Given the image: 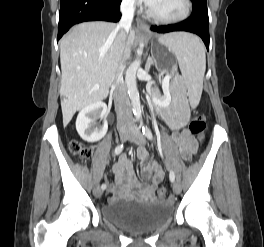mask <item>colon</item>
Segmentation results:
<instances>
[{
	"instance_id": "5ec220e1",
	"label": "colon",
	"mask_w": 264,
	"mask_h": 247,
	"mask_svg": "<svg viewBox=\"0 0 264 247\" xmlns=\"http://www.w3.org/2000/svg\"><path fill=\"white\" fill-rule=\"evenodd\" d=\"M190 132L196 136L198 139L203 140L206 129V120L203 115H198L193 118L189 126ZM71 152L78 156L81 160L85 161L89 159L92 155V150L90 147L82 144L79 141H73L70 144ZM157 195L159 198H168L170 196V191L166 187H160L157 190Z\"/></svg>"
}]
</instances>
